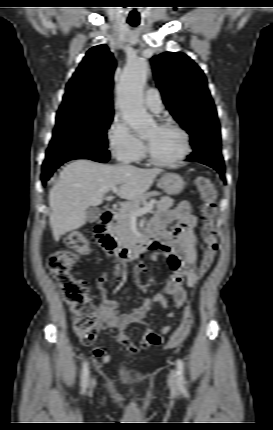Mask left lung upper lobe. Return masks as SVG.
I'll return each instance as SVG.
<instances>
[{"label": "left lung upper lobe", "instance_id": "left-lung-upper-lobe-1", "mask_svg": "<svg viewBox=\"0 0 273 430\" xmlns=\"http://www.w3.org/2000/svg\"><path fill=\"white\" fill-rule=\"evenodd\" d=\"M163 101L191 137L193 149L206 140L221 141L214 102L203 71L187 55L165 52L152 58Z\"/></svg>", "mask_w": 273, "mask_h": 430}]
</instances>
